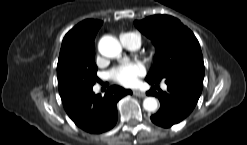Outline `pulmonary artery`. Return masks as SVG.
I'll use <instances>...</instances> for the list:
<instances>
[{
    "mask_svg": "<svg viewBox=\"0 0 247 145\" xmlns=\"http://www.w3.org/2000/svg\"><path fill=\"white\" fill-rule=\"evenodd\" d=\"M122 45L128 50H136L140 47L141 41L135 33H125L120 36Z\"/></svg>",
    "mask_w": 247,
    "mask_h": 145,
    "instance_id": "obj_1",
    "label": "pulmonary artery"
}]
</instances>
